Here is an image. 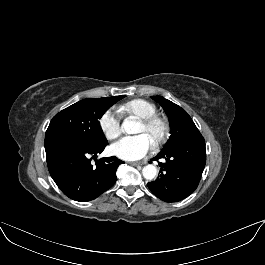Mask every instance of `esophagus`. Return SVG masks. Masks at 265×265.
Segmentation results:
<instances>
[{"instance_id":"34e87169","label":"esophagus","mask_w":265,"mask_h":265,"mask_svg":"<svg viewBox=\"0 0 265 265\" xmlns=\"http://www.w3.org/2000/svg\"><path fill=\"white\" fill-rule=\"evenodd\" d=\"M130 164L133 166H138V165H144V164H146V162L145 161H139V162H131Z\"/></svg>"}]
</instances>
